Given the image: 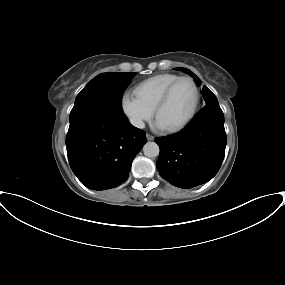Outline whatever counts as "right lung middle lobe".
Returning <instances> with one entry per match:
<instances>
[{
    "mask_svg": "<svg viewBox=\"0 0 285 285\" xmlns=\"http://www.w3.org/2000/svg\"><path fill=\"white\" fill-rule=\"evenodd\" d=\"M136 73H103L93 78L77 95L69 121L92 110L123 116L121 98Z\"/></svg>",
    "mask_w": 285,
    "mask_h": 285,
    "instance_id": "dd1d6c3e",
    "label": "right lung middle lobe"
}]
</instances>
